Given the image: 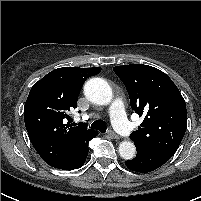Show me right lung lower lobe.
<instances>
[{
    "label": "right lung lower lobe",
    "instance_id": "98d812e1",
    "mask_svg": "<svg viewBox=\"0 0 201 201\" xmlns=\"http://www.w3.org/2000/svg\"><path fill=\"white\" fill-rule=\"evenodd\" d=\"M87 155H88V142L86 143L80 157L73 164H71L70 166H67L65 168H62V169L69 170V169L80 168L84 164V162L86 161Z\"/></svg>",
    "mask_w": 201,
    "mask_h": 201
}]
</instances>
